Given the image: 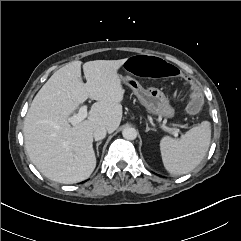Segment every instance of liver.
Listing matches in <instances>:
<instances>
[{"label":"liver","mask_w":241,"mask_h":241,"mask_svg":"<svg viewBox=\"0 0 241 241\" xmlns=\"http://www.w3.org/2000/svg\"><path fill=\"white\" fill-rule=\"evenodd\" d=\"M127 59L72 61L57 70L33 99L24 120L25 149L36 168L52 181L73 184L96 167L93 133L114 132L122 119L124 89L118 69ZM88 98L96 100L88 118L75 126L69 116Z\"/></svg>","instance_id":"1"}]
</instances>
